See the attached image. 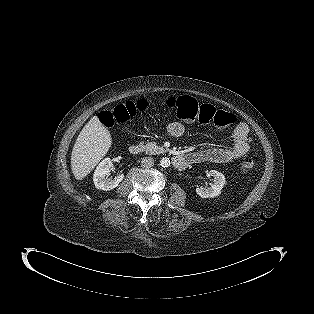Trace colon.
<instances>
[{
  "mask_svg": "<svg viewBox=\"0 0 314 314\" xmlns=\"http://www.w3.org/2000/svg\"><path fill=\"white\" fill-rule=\"evenodd\" d=\"M166 105L175 108L179 119L186 122H199L203 124H213L218 130L225 131L235 127V117L224 110L216 109L208 104H200L190 96H172L166 100ZM150 102L146 99H139L135 102H126L118 105L114 110L102 111L98 114L99 123L112 128L115 125H122L129 122L138 113L146 111ZM242 171H250L254 167V159L245 155L239 162Z\"/></svg>",
  "mask_w": 314,
  "mask_h": 314,
  "instance_id": "colon-1",
  "label": "colon"
}]
</instances>
